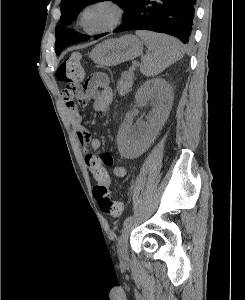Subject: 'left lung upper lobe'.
Wrapping results in <instances>:
<instances>
[{
	"label": "left lung upper lobe",
	"mask_w": 245,
	"mask_h": 300,
	"mask_svg": "<svg viewBox=\"0 0 245 300\" xmlns=\"http://www.w3.org/2000/svg\"><path fill=\"white\" fill-rule=\"evenodd\" d=\"M98 1L106 0H62L61 1V25L56 27V44L55 50L59 54L60 51L68 45L86 41L90 37L82 35L68 28L72 20L86 6ZM124 9L123 21H125L132 13L134 0H112ZM98 36V35H97ZM96 37V36H95Z\"/></svg>",
	"instance_id": "1"
}]
</instances>
